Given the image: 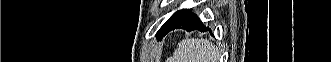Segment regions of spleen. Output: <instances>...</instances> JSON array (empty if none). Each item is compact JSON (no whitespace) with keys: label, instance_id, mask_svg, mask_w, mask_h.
Instances as JSON below:
<instances>
[{"label":"spleen","instance_id":"1","mask_svg":"<svg viewBox=\"0 0 331 62\" xmlns=\"http://www.w3.org/2000/svg\"><path fill=\"white\" fill-rule=\"evenodd\" d=\"M216 57L215 48L204 39L183 40L174 53L176 62H210L208 60Z\"/></svg>","mask_w":331,"mask_h":62}]
</instances>
